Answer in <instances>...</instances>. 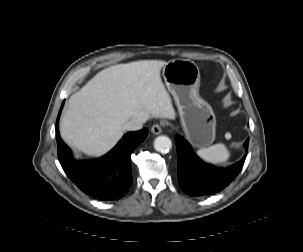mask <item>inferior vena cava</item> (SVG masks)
Instances as JSON below:
<instances>
[{
  "label": "inferior vena cava",
  "mask_w": 303,
  "mask_h": 252,
  "mask_svg": "<svg viewBox=\"0 0 303 252\" xmlns=\"http://www.w3.org/2000/svg\"><path fill=\"white\" fill-rule=\"evenodd\" d=\"M143 123L144 121L141 119H133L125 124L124 129L128 131H137L142 129Z\"/></svg>",
  "instance_id": "602c4592"
}]
</instances>
